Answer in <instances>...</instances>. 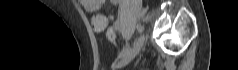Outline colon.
<instances>
[{
    "label": "colon",
    "mask_w": 238,
    "mask_h": 70,
    "mask_svg": "<svg viewBox=\"0 0 238 70\" xmlns=\"http://www.w3.org/2000/svg\"><path fill=\"white\" fill-rule=\"evenodd\" d=\"M107 38L111 42H114L116 40V27L108 28V30H107Z\"/></svg>",
    "instance_id": "5ec220e1"
}]
</instances>
